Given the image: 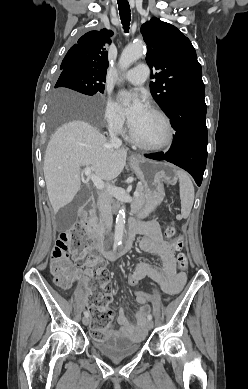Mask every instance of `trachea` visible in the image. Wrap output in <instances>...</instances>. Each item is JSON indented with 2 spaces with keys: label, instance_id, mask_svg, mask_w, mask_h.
Wrapping results in <instances>:
<instances>
[{
  "label": "trachea",
  "instance_id": "3493384b",
  "mask_svg": "<svg viewBox=\"0 0 248 389\" xmlns=\"http://www.w3.org/2000/svg\"><path fill=\"white\" fill-rule=\"evenodd\" d=\"M118 9H119V14L121 18V22L123 25V28L125 32L127 33L129 30V25L131 21V13H130V6L127 0H118Z\"/></svg>",
  "mask_w": 248,
  "mask_h": 389
}]
</instances>
